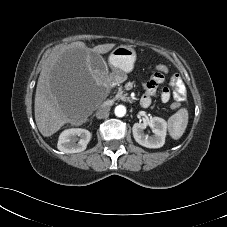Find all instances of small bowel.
I'll return each instance as SVG.
<instances>
[{
	"label": "small bowel",
	"mask_w": 227,
	"mask_h": 227,
	"mask_svg": "<svg viewBox=\"0 0 227 227\" xmlns=\"http://www.w3.org/2000/svg\"><path fill=\"white\" fill-rule=\"evenodd\" d=\"M165 80L164 75L159 72H154L151 77L144 82L143 87L145 90L144 95L141 98V106L148 107L151 104L152 97L155 96L158 85ZM170 84L174 88L173 96L177 102H182L186 98V87L178 75H173L170 79ZM171 98L170 90L165 87L161 92V100L168 102Z\"/></svg>",
	"instance_id": "1"
}]
</instances>
